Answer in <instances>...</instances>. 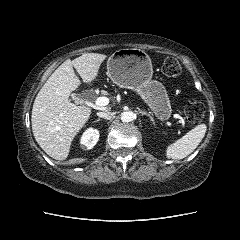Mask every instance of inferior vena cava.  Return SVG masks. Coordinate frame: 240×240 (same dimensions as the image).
I'll use <instances>...</instances> for the list:
<instances>
[{
    "mask_svg": "<svg viewBox=\"0 0 240 240\" xmlns=\"http://www.w3.org/2000/svg\"><path fill=\"white\" fill-rule=\"evenodd\" d=\"M97 115L101 118H104V119H112L115 115L114 112H98Z\"/></svg>",
    "mask_w": 240,
    "mask_h": 240,
    "instance_id": "obj_1",
    "label": "inferior vena cava"
}]
</instances>
